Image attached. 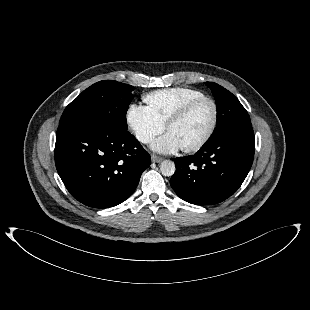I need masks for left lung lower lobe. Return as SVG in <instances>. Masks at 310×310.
<instances>
[{
    "label": "left lung lower lobe",
    "mask_w": 310,
    "mask_h": 310,
    "mask_svg": "<svg viewBox=\"0 0 310 310\" xmlns=\"http://www.w3.org/2000/svg\"><path fill=\"white\" fill-rule=\"evenodd\" d=\"M252 126L208 142L195 155L175 158L170 184L183 200L196 205L224 201L241 186L254 158Z\"/></svg>",
    "instance_id": "0a47b994"
}]
</instances>
